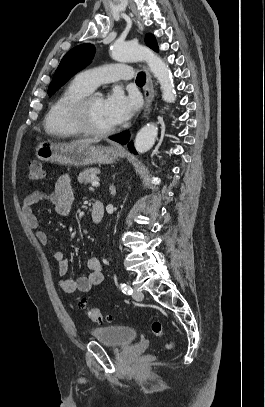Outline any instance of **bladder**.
Masks as SVG:
<instances>
[{
    "instance_id": "1",
    "label": "bladder",
    "mask_w": 265,
    "mask_h": 407,
    "mask_svg": "<svg viewBox=\"0 0 265 407\" xmlns=\"http://www.w3.org/2000/svg\"><path fill=\"white\" fill-rule=\"evenodd\" d=\"M90 334L98 342L114 348L127 347L138 338L135 329L119 325L93 328Z\"/></svg>"
}]
</instances>
